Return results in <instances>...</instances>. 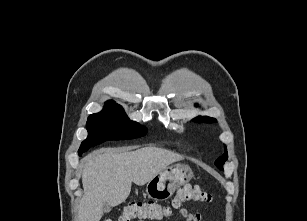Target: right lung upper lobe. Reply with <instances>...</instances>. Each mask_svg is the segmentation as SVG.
<instances>
[{
    "mask_svg": "<svg viewBox=\"0 0 307 221\" xmlns=\"http://www.w3.org/2000/svg\"><path fill=\"white\" fill-rule=\"evenodd\" d=\"M106 103L107 104H116V103H114V101H107Z\"/></svg>",
    "mask_w": 307,
    "mask_h": 221,
    "instance_id": "obj_1",
    "label": "right lung upper lobe"
}]
</instances>
